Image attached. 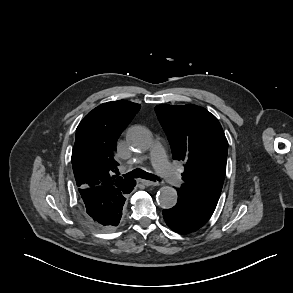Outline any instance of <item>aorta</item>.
<instances>
[{"instance_id":"762f6f07","label":"aorta","mask_w":293,"mask_h":293,"mask_svg":"<svg viewBox=\"0 0 293 293\" xmlns=\"http://www.w3.org/2000/svg\"><path fill=\"white\" fill-rule=\"evenodd\" d=\"M127 143L135 150L145 151L152 144V136L149 130L141 126L129 129ZM177 191L171 186L162 187L157 193V201L162 208L169 209L177 203Z\"/></svg>"}]
</instances>
